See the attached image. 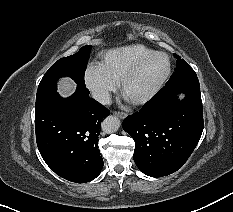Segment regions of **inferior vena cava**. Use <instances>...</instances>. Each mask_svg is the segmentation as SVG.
<instances>
[{"mask_svg": "<svg viewBox=\"0 0 233 212\" xmlns=\"http://www.w3.org/2000/svg\"><path fill=\"white\" fill-rule=\"evenodd\" d=\"M92 97L103 105H109L111 103V97L106 90H96L92 92Z\"/></svg>", "mask_w": 233, "mask_h": 212, "instance_id": "inferior-vena-cava-1", "label": "inferior vena cava"}]
</instances>
